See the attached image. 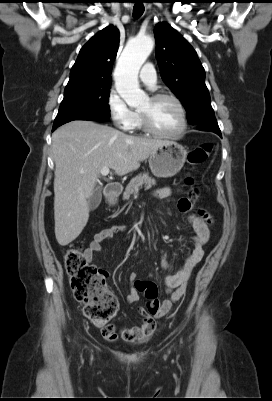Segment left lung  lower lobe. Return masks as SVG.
<instances>
[{"label":"left lung lower lobe","instance_id":"0a47b994","mask_svg":"<svg viewBox=\"0 0 272 401\" xmlns=\"http://www.w3.org/2000/svg\"><path fill=\"white\" fill-rule=\"evenodd\" d=\"M196 126L199 130L214 132L222 137L217 121L206 122Z\"/></svg>","mask_w":272,"mask_h":401}]
</instances>
